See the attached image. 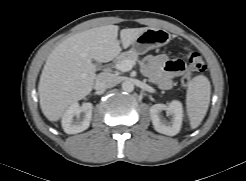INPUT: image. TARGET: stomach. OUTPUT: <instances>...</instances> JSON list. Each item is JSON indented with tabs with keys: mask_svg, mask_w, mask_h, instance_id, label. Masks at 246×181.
Masks as SVG:
<instances>
[{
	"mask_svg": "<svg viewBox=\"0 0 246 181\" xmlns=\"http://www.w3.org/2000/svg\"><path fill=\"white\" fill-rule=\"evenodd\" d=\"M169 40L170 35L167 31L149 28L133 42L131 50L137 54H144L150 49L166 45Z\"/></svg>",
	"mask_w": 246,
	"mask_h": 181,
	"instance_id": "1",
	"label": "stomach"
}]
</instances>
